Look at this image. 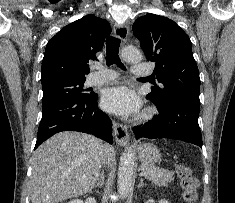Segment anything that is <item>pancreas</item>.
<instances>
[{
  "mask_svg": "<svg viewBox=\"0 0 235 203\" xmlns=\"http://www.w3.org/2000/svg\"><path fill=\"white\" fill-rule=\"evenodd\" d=\"M141 169L146 172L145 178L158 186H167L168 183L174 180V173L169 170L160 169L149 164H142Z\"/></svg>",
  "mask_w": 235,
  "mask_h": 203,
  "instance_id": "cf45deb5",
  "label": "pancreas"
}]
</instances>
